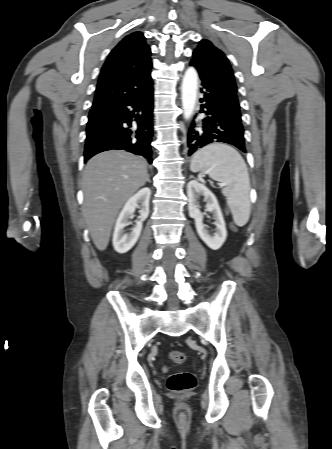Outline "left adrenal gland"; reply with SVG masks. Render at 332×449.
I'll use <instances>...</instances> for the list:
<instances>
[{
  "instance_id": "obj_1",
  "label": "left adrenal gland",
  "mask_w": 332,
  "mask_h": 449,
  "mask_svg": "<svg viewBox=\"0 0 332 449\" xmlns=\"http://www.w3.org/2000/svg\"><path fill=\"white\" fill-rule=\"evenodd\" d=\"M190 178H193V176H192V175H190Z\"/></svg>"
}]
</instances>
